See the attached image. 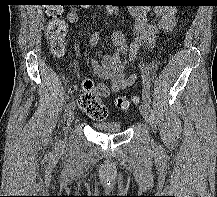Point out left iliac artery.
<instances>
[{"mask_svg":"<svg viewBox=\"0 0 217 197\" xmlns=\"http://www.w3.org/2000/svg\"><path fill=\"white\" fill-rule=\"evenodd\" d=\"M140 70L143 78V91H142L143 101L148 107H150L151 67L148 64L141 63Z\"/></svg>","mask_w":217,"mask_h":197,"instance_id":"obj_1","label":"left iliac artery"}]
</instances>
